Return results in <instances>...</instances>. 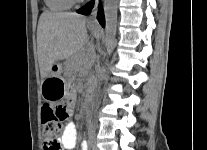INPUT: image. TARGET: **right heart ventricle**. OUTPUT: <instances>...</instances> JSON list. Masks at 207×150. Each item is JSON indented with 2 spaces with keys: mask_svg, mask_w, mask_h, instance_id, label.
<instances>
[{
  "mask_svg": "<svg viewBox=\"0 0 207 150\" xmlns=\"http://www.w3.org/2000/svg\"><path fill=\"white\" fill-rule=\"evenodd\" d=\"M49 10L54 12H63L72 8V0H44Z\"/></svg>",
  "mask_w": 207,
  "mask_h": 150,
  "instance_id": "e07e8e85",
  "label": "right heart ventricle"
}]
</instances>
